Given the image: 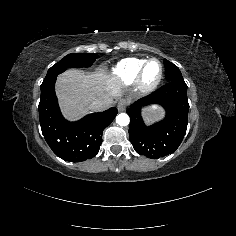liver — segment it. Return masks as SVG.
Returning a JSON list of instances; mask_svg holds the SVG:
<instances>
[{"label": "liver", "mask_w": 236, "mask_h": 236, "mask_svg": "<svg viewBox=\"0 0 236 236\" xmlns=\"http://www.w3.org/2000/svg\"><path fill=\"white\" fill-rule=\"evenodd\" d=\"M54 91L62 119L68 123H76L90 113L88 105L93 100L103 102L100 111L108 110L114 104V99L121 97L124 87L108 67H100L94 72L68 68L57 75ZM140 109L154 121L166 113L161 112L155 103H148Z\"/></svg>", "instance_id": "liver-1"}]
</instances>
